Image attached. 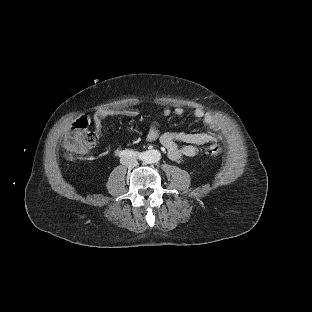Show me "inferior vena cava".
<instances>
[{"mask_svg":"<svg viewBox=\"0 0 312 312\" xmlns=\"http://www.w3.org/2000/svg\"><path fill=\"white\" fill-rule=\"evenodd\" d=\"M126 166L128 168H133V167L137 166V162H135V163H128Z\"/></svg>","mask_w":312,"mask_h":312,"instance_id":"obj_1","label":"inferior vena cava"}]
</instances>
